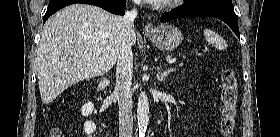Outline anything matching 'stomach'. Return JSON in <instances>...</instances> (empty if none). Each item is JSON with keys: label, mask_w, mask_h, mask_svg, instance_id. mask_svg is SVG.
Returning a JSON list of instances; mask_svg holds the SVG:
<instances>
[{"label": "stomach", "mask_w": 280, "mask_h": 137, "mask_svg": "<svg viewBox=\"0 0 280 137\" xmlns=\"http://www.w3.org/2000/svg\"><path fill=\"white\" fill-rule=\"evenodd\" d=\"M146 35L156 47L163 51L176 49L183 40L181 31L171 24L154 27L152 31H147Z\"/></svg>", "instance_id": "1"}]
</instances>
